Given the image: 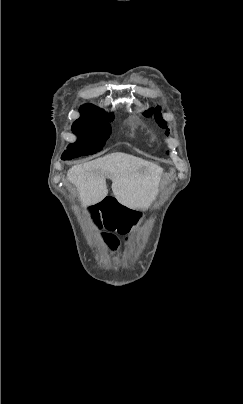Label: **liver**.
<instances>
[{
    "mask_svg": "<svg viewBox=\"0 0 243 404\" xmlns=\"http://www.w3.org/2000/svg\"><path fill=\"white\" fill-rule=\"evenodd\" d=\"M161 174L162 168L153 162L115 152L72 166L67 178L76 186L83 208L108 196L106 176H110L112 192L119 204L132 210H148L156 200Z\"/></svg>",
    "mask_w": 243,
    "mask_h": 404,
    "instance_id": "liver-1",
    "label": "liver"
}]
</instances>
